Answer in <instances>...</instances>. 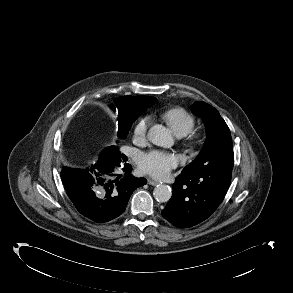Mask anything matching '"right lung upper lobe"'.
<instances>
[{
	"mask_svg": "<svg viewBox=\"0 0 293 293\" xmlns=\"http://www.w3.org/2000/svg\"><path fill=\"white\" fill-rule=\"evenodd\" d=\"M156 102L155 97L147 96H123L115 101L112 109H117L118 122L131 116L141 115L148 107ZM110 149V148H109ZM113 153V151H111Z\"/></svg>",
	"mask_w": 293,
	"mask_h": 293,
	"instance_id": "cb5924a9",
	"label": "right lung upper lobe"
}]
</instances>
